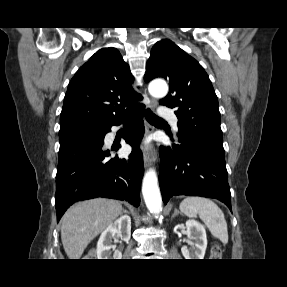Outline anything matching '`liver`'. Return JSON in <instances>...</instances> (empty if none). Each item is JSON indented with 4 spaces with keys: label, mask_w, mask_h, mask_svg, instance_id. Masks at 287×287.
<instances>
[{
    "label": "liver",
    "mask_w": 287,
    "mask_h": 287,
    "mask_svg": "<svg viewBox=\"0 0 287 287\" xmlns=\"http://www.w3.org/2000/svg\"><path fill=\"white\" fill-rule=\"evenodd\" d=\"M122 211L120 202L104 198L78 202L69 208L61 224V240L69 259H80L88 244Z\"/></svg>",
    "instance_id": "6515ba94"
}]
</instances>
